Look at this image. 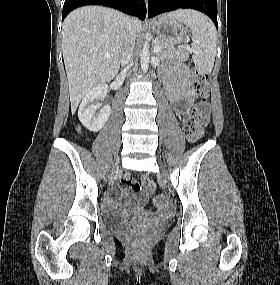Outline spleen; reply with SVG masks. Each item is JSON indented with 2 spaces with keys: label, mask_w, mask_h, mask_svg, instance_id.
<instances>
[{
  "label": "spleen",
  "mask_w": 280,
  "mask_h": 285,
  "mask_svg": "<svg viewBox=\"0 0 280 285\" xmlns=\"http://www.w3.org/2000/svg\"><path fill=\"white\" fill-rule=\"evenodd\" d=\"M190 28L191 51L195 66L205 74L212 72L216 55V30L212 21L202 13L193 10H179L168 14Z\"/></svg>",
  "instance_id": "3e777b00"
}]
</instances>
